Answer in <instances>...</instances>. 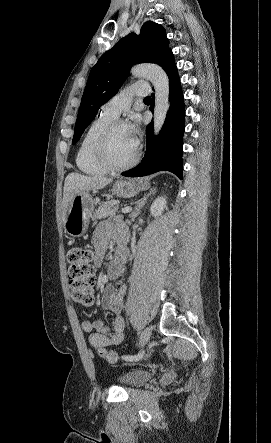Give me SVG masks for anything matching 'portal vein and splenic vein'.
Returning a JSON list of instances; mask_svg holds the SVG:
<instances>
[{
	"instance_id": "1",
	"label": "portal vein and splenic vein",
	"mask_w": 271,
	"mask_h": 443,
	"mask_svg": "<svg viewBox=\"0 0 271 443\" xmlns=\"http://www.w3.org/2000/svg\"><path fill=\"white\" fill-rule=\"evenodd\" d=\"M132 208L131 206H127V208H123L122 214H128V212H131Z\"/></svg>"
}]
</instances>
